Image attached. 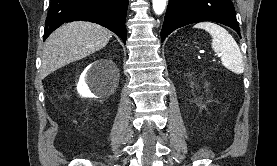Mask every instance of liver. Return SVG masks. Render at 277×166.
Masks as SVG:
<instances>
[{"label":"liver","mask_w":277,"mask_h":166,"mask_svg":"<svg viewBox=\"0 0 277 166\" xmlns=\"http://www.w3.org/2000/svg\"><path fill=\"white\" fill-rule=\"evenodd\" d=\"M112 33L101 25L77 21L64 24L45 41L41 78L104 48Z\"/></svg>","instance_id":"1"}]
</instances>
